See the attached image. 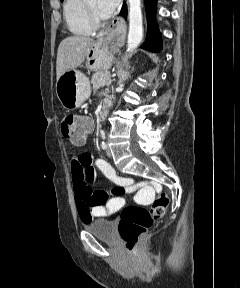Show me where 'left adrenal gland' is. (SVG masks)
Masks as SVG:
<instances>
[{
    "label": "left adrenal gland",
    "instance_id": "left-adrenal-gland-1",
    "mask_svg": "<svg viewBox=\"0 0 240 288\" xmlns=\"http://www.w3.org/2000/svg\"><path fill=\"white\" fill-rule=\"evenodd\" d=\"M130 73L128 71H124L122 69H120L118 71V77H119V81L118 84L123 83L126 79H128Z\"/></svg>",
    "mask_w": 240,
    "mask_h": 288
}]
</instances>
